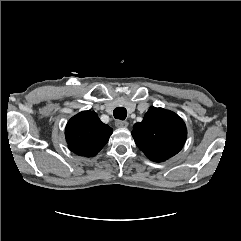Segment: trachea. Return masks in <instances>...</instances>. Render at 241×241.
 <instances>
[{
  "mask_svg": "<svg viewBox=\"0 0 241 241\" xmlns=\"http://www.w3.org/2000/svg\"><path fill=\"white\" fill-rule=\"evenodd\" d=\"M113 115L116 119L124 120L127 117V110L124 107H117L114 109Z\"/></svg>",
  "mask_w": 241,
  "mask_h": 241,
  "instance_id": "trachea-1",
  "label": "trachea"
}]
</instances>
